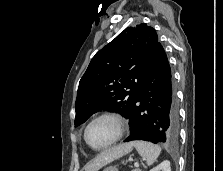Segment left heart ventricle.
<instances>
[{"instance_id": "b2bd125f", "label": "left heart ventricle", "mask_w": 223, "mask_h": 171, "mask_svg": "<svg viewBox=\"0 0 223 171\" xmlns=\"http://www.w3.org/2000/svg\"><path fill=\"white\" fill-rule=\"evenodd\" d=\"M117 132L116 122L109 118H103L95 121L89 127L87 138L94 147H102L112 141Z\"/></svg>"}]
</instances>
